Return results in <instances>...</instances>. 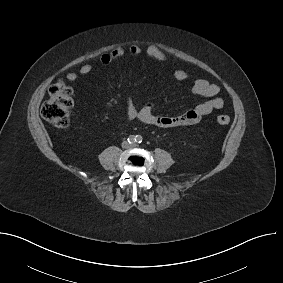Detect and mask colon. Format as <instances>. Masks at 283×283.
Wrapping results in <instances>:
<instances>
[{
	"label": "colon",
	"instance_id": "obj_1",
	"mask_svg": "<svg viewBox=\"0 0 283 283\" xmlns=\"http://www.w3.org/2000/svg\"><path fill=\"white\" fill-rule=\"evenodd\" d=\"M72 88L59 81L55 83L49 91V99L43 104L41 113L44 119L59 129H65L70 122L71 109L73 107ZM220 125H227L230 117L227 114L217 116Z\"/></svg>",
	"mask_w": 283,
	"mask_h": 283
}]
</instances>
